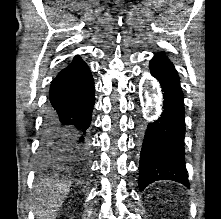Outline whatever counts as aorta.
<instances>
[{"instance_id": "aorta-1", "label": "aorta", "mask_w": 221, "mask_h": 219, "mask_svg": "<svg viewBox=\"0 0 221 219\" xmlns=\"http://www.w3.org/2000/svg\"><path fill=\"white\" fill-rule=\"evenodd\" d=\"M142 89L145 94V100L143 102L142 110L143 114L146 116L148 113L151 112L154 106L153 98L156 95L157 85L154 82L148 81V79H146V76H144L142 80Z\"/></svg>"}]
</instances>
